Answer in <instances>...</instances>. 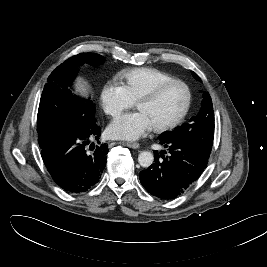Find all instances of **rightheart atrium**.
Wrapping results in <instances>:
<instances>
[{"label":"right heart atrium","instance_id":"right-heart-atrium-1","mask_svg":"<svg viewBox=\"0 0 267 267\" xmlns=\"http://www.w3.org/2000/svg\"><path fill=\"white\" fill-rule=\"evenodd\" d=\"M100 102L104 112L111 117H116L133 106V101L124 87L117 83L104 85L100 94Z\"/></svg>","mask_w":267,"mask_h":267}]
</instances>
